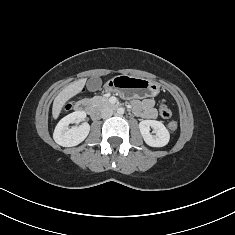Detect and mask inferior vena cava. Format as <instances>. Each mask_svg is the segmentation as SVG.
<instances>
[{"label": "inferior vena cava", "instance_id": "602c4592", "mask_svg": "<svg viewBox=\"0 0 235 235\" xmlns=\"http://www.w3.org/2000/svg\"><path fill=\"white\" fill-rule=\"evenodd\" d=\"M112 115H113V110L109 107L104 108L101 112V117L104 119L109 118Z\"/></svg>", "mask_w": 235, "mask_h": 235}]
</instances>
